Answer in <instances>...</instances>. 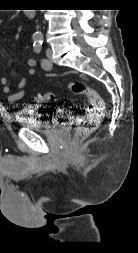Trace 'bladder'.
Returning a JSON list of instances; mask_svg holds the SVG:
<instances>
[{"instance_id": "1", "label": "bladder", "mask_w": 138, "mask_h": 253, "mask_svg": "<svg viewBox=\"0 0 138 253\" xmlns=\"http://www.w3.org/2000/svg\"><path fill=\"white\" fill-rule=\"evenodd\" d=\"M19 123L21 126L40 133H51L62 127L59 121L53 118L44 107L33 106L20 112Z\"/></svg>"}]
</instances>
